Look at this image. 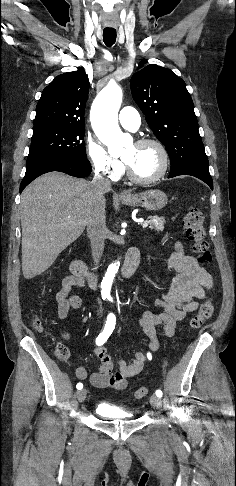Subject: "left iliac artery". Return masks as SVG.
I'll list each match as a JSON object with an SVG mask.
<instances>
[{"instance_id":"left-iliac-artery-1","label":"left iliac artery","mask_w":236,"mask_h":486,"mask_svg":"<svg viewBox=\"0 0 236 486\" xmlns=\"http://www.w3.org/2000/svg\"><path fill=\"white\" fill-rule=\"evenodd\" d=\"M152 356L150 353H148V359L151 360ZM156 396L162 397V391L161 390H156L155 392Z\"/></svg>"}]
</instances>
